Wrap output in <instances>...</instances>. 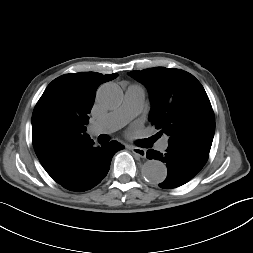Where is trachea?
<instances>
[{
	"label": "trachea",
	"instance_id": "1",
	"mask_svg": "<svg viewBox=\"0 0 253 253\" xmlns=\"http://www.w3.org/2000/svg\"><path fill=\"white\" fill-rule=\"evenodd\" d=\"M98 139L100 143H105L108 140L107 136L104 135H100Z\"/></svg>",
	"mask_w": 253,
	"mask_h": 253
}]
</instances>
